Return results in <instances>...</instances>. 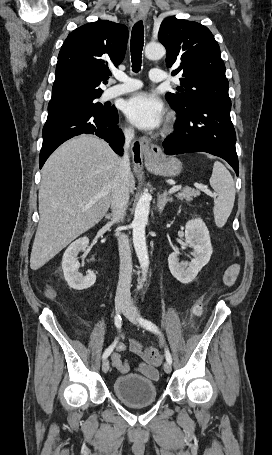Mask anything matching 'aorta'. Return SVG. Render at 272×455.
<instances>
[{
  "instance_id": "aorta-1",
  "label": "aorta",
  "mask_w": 272,
  "mask_h": 455,
  "mask_svg": "<svg viewBox=\"0 0 272 455\" xmlns=\"http://www.w3.org/2000/svg\"><path fill=\"white\" fill-rule=\"evenodd\" d=\"M166 53L163 45L159 43H149L145 47V56L151 60L161 59ZM150 200L151 197L148 193L144 192L141 194L134 213V219L132 222L133 228V244L136 255L138 257L140 267L145 275L149 267V256L145 238V227L148 222V216L150 211Z\"/></svg>"
}]
</instances>
